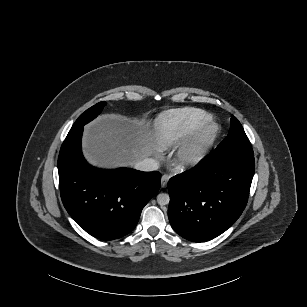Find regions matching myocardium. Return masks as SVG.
<instances>
[{
  "mask_svg": "<svg viewBox=\"0 0 307 307\" xmlns=\"http://www.w3.org/2000/svg\"><path fill=\"white\" fill-rule=\"evenodd\" d=\"M221 133V126L212 123L203 128L190 142L176 152V159L181 170L201 164L208 156Z\"/></svg>",
  "mask_w": 307,
  "mask_h": 307,
  "instance_id": "1",
  "label": "myocardium"
}]
</instances>
